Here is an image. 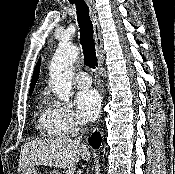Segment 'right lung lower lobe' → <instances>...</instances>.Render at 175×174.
I'll use <instances>...</instances> for the list:
<instances>
[{"label": "right lung lower lobe", "mask_w": 175, "mask_h": 174, "mask_svg": "<svg viewBox=\"0 0 175 174\" xmlns=\"http://www.w3.org/2000/svg\"><path fill=\"white\" fill-rule=\"evenodd\" d=\"M89 143L91 144L92 147L95 149L99 148L100 143H101V136L98 132L93 133L92 137L89 138Z\"/></svg>", "instance_id": "obj_1"}]
</instances>
